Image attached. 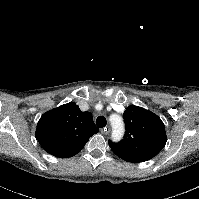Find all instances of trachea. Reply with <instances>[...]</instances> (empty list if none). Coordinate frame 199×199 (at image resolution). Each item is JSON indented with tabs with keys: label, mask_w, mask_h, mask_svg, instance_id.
Instances as JSON below:
<instances>
[{
	"label": "trachea",
	"mask_w": 199,
	"mask_h": 199,
	"mask_svg": "<svg viewBox=\"0 0 199 199\" xmlns=\"http://www.w3.org/2000/svg\"><path fill=\"white\" fill-rule=\"evenodd\" d=\"M106 124H107V122H106V118L104 116L97 117V119H96L97 127L102 128V127H105Z\"/></svg>",
	"instance_id": "trachea-1"
}]
</instances>
